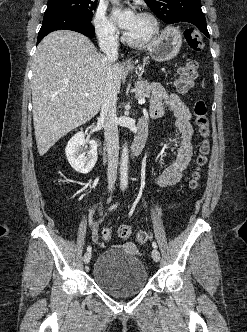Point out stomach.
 Returning a JSON list of instances; mask_svg holds the SVG:
<instances>
[{"label":"stomach","instance_id":"stomach-1","mask_svg":"<svg viewBox=\"0 0 247 332\" xmlns=\"http://www.w3.org/2000/svg\"><path fill=\"white\" fill-rule=\"evenodd\" d=\"M182 35L178 28L167 27L160 36L148 45V51L152 59L163 62L173 59L180 51ZM133 68H127L131 71Z\"/></svg>","mask_w":247,"mask_h":332}]
</instances>
